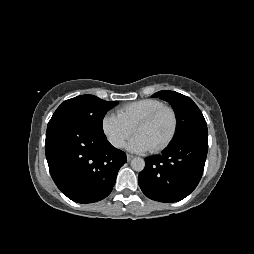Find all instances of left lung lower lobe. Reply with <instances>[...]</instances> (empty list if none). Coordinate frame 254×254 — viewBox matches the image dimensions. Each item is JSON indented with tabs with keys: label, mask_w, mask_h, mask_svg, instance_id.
<instances>
[{
	"label": "left lung lower lobe",
	"mask_w": 254,
	"mask_h": 254,
	"mask_svg": "<svg viewBox=\"0 0 254 254\" xmlns=\"http://www.w3.org/2000/svg\"><path fill=\"white\" fill-rule=\"evenodd\" d=\"M208 151V136H190L176 142L161 155L145 159L138 183L150 199L178 202L198 185Z\"/></svg>",
	"instance_id": "left-lung-lower-lobe-1"
}]
</instances>
